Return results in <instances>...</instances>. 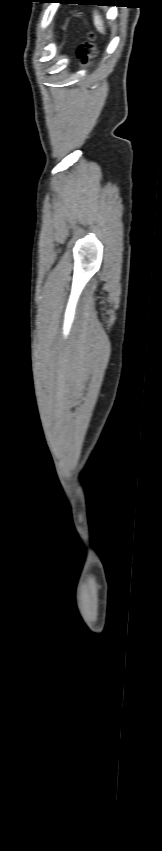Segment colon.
<instances>
[{"label":"colon","mask_w":162,"mask_h":851,"mask_svg":"<svg viewBox=\"0 0 162 851\" xmlns=\"http://www.w3.org/2000/svg\"><path fill=\"white\" fill-rule=\"evenodd\" d=\"M93 40L94 35L89 34L88 41L82 43L77 49V57L85 66L89 65L91 60L97 55V49Z\"/></svg>","instance_id":"1"}]
</instances>
